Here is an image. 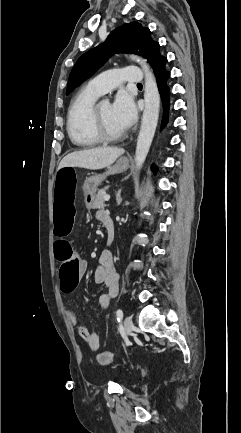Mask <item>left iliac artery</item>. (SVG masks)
I'll return each mask as SVG.
<instances>
[{"mask_svg":"<svg viewBox=\"0 0 241 433\" xmlns=\"http://www.w3.org/2000/svg\"><path fill=\"white\" fill-rule=\"evenodd\" d=\"M116 317H117L118 322H121V320L123 318V311L121 309H118L116 311Z\"/></svg>","mask_w":241,"mask_h":433,"instance_id":"obj_1","label":"left iliac artery"}]
</instances>
